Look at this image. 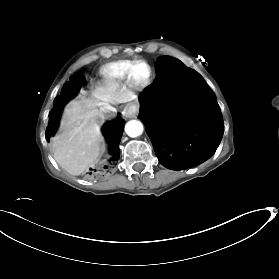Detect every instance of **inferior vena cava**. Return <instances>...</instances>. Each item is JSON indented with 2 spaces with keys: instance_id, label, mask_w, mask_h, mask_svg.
I'll use <instances>...</instances> for the list:
<instances>
[{
  "instance_id": "1",
  "label": "inferior vena cava",
  "mask_w": 279,
  "mask_h": 279,
  "mask_svg": "<svg viewBox=\"0 0 279 279\" xmlns=\"http://www.w3.org/2000/svg\"><path fill=\"white\" fill-rule=\"evenodd\" d=\"M100 114H101V118L106 119V120H111V119L115 118V116L117 114V110L115 109V107H113L109 104H106L101 107Z\"/></svg>"
}]
</instances>
